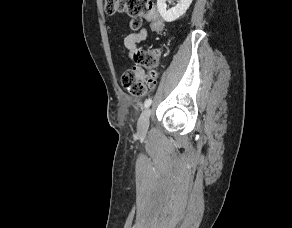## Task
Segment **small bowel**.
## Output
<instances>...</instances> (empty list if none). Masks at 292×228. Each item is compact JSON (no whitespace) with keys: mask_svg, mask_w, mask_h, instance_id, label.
Instances as JSON below:
<instances>
[{"mask_svg":"<svg viewBox=\"0 0 292 228\" xmlns=\"http://www.w3.org/2000/svg\"><path fill=\"white\" fill-rule=\"evenodd\" d=\"M148 32L146 29H141L136 33L129 34L124 39V46L128 49L130 57H133L134 51L137 49V46L142 41L146 40ZM137 70L141 74H145V71L141 67H137ZM156 84V79H154L153 83L149 86V88H154Z\"/></svg>","mask_w":292,"mask_h":228,"instance_id":"c3829d8e","label":"small bowel"}]
</instances>
